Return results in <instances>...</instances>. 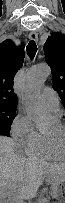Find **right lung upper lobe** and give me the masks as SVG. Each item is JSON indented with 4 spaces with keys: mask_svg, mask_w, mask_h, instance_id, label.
Segmentation results:
<instances>
[{
    "mask_svg": "<svg viewBox=\"0 0 65 203\" xmlns=\"http://www.w3.org/2000/svg\"><path fill=\"white\" fill-rule=\"evenodd\" d=\"M23 61L24 46H16L11 40H5L0 44V103L17 105L12 81Z\"/></svg>",
    "mask_w": 65,
    "mask_h": 203,
    "instance_id": "right-lung-upper-lobe-1",
    "label": "right lung upper lobe"
}]
</instances>
